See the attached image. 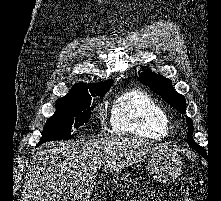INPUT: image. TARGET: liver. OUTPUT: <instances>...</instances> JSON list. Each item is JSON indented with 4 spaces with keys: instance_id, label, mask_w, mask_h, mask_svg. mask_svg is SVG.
Here are the masks:
<instances>
[{
    "instance_id": "6515ba94",
    "label": "liver",
    "mask_w": 221,
    "mask_h": 201,
    "mask_svg": "<svg viewBox=\"0 0 221 201\" xmlns=\"http://www.w3.org/2000/svg\"><path fill=\"white\" fill-rule=\"evenodd\" d=\"M168 151L175 150L129 136L48 143L38 149L28 168L22 201H55L59 188L66 184L91 186L98 166L102 165L104 172H113Z\"/></svg>"
}]
</instances>
